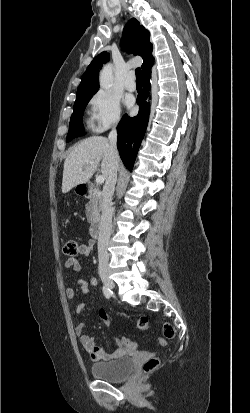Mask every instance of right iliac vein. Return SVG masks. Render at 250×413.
Returning a JSON list of instances; mask_svg holds the SVG:
<instances>
[{"label":"right iliac vein","mask_w":250,"mask_h":413,"mask_svg":"<svg viewBox=\"0 0 250 413\" xmlns=\"http://www.w3.org/2000/svg\"><path fill=\"white\" fill-rule=\"evenodd\" d=\"M102 281L104 282V284L108 287V288H113V282L109 279L108 274L102 272L100 274Z\"/></svg>","instance_id":"63e3f726"}]
</instances>
